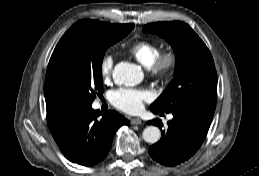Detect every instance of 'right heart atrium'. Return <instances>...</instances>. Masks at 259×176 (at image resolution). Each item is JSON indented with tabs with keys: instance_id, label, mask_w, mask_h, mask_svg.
Returning a JSON list of instances; mask_svg holds the SVG:
<instances>
[{
	"instance_id": "right-heart-atrium-1",
	"label": "right heart atrium",
	"mask_w": 259,
	"mask_h": 176,
	"mask_svg": "<svg viewBox=\"0 0 259 176\" xmlns=\"http://www.w3.org/2000/svg\"><path fill=\"white\" fill-rule=\"evenodd\" d=\"M114 64L115 59L111 54L106 53L102 57L100 61V75L104 81L109 80L112 76Z\"/></svg>"
}]
</instances>
